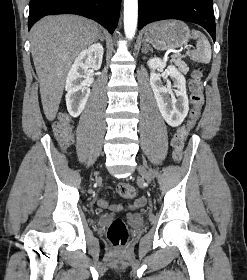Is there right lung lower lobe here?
Wrapping results in <instances>:
<instances>
[{"label":"right lung lower lobe","mask_w":247,"mask_h":280,"mask_svg":"<svg viewBox=\"0 0 247 280\" xmlns=\"http://www.w3.org/2000/svg\"><path fill=\"white\" fill-rule=\"evenodd\" d=\"M121 0H30L28 28L51 14H78L102 24L113 33L119 19Z\"/></svg>","instance_id":"obj_1"}]
</instances>
